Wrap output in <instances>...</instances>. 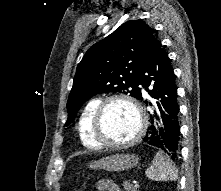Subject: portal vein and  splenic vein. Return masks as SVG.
I'll use <instances>...</instances> for the list:
<instances>
[{
  "label": "portal vein and splenic vein",
  "instance_id": "portal-vein-and-splenic-vein-1",
  "mask_svg": "<svg viewBox=\"0 0 221 191\" xmlns=\"http://www.w3.org/2000/svg\"><path fill=\"white\" fill-rule=\"evenodd\" d=\"M134 187L139 188V184L137 182H134Z\"/></svg>",
  "mask_w": 221,
  "mask_h": 191
}]
</instances>
